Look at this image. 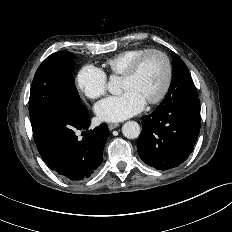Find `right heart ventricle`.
Masks as SVG:
<instances>
[{
  "label": "right heart ventricle",
  "instance_id": "1",
  "mask_svg": "<svg viewBox=\"0 0 232 232\" xmlns=\"http://www.w3.org/2000/svg\"><path fill=\"white\" fill-rule=\"evenodd\" d=\"M149 49L134 48L122 51L104 62V67L112 76H122L131 62Z\"/></svg>",
  "mask_w": 232,
  "mask_h": 232
}]
</instances>
